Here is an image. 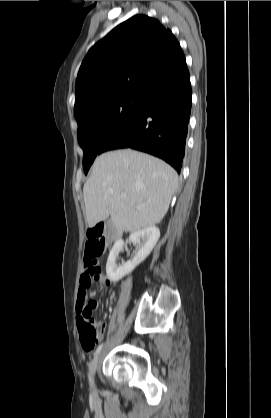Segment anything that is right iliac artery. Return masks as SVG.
Listing matches in <instances>:
<instances>
[{"label":"right iliac artery","mask_w":271,"mask_h":418,"mask_svg":"<svg viewBox=\"0 0 271 418\" xmlns=\"http://www.w3.org/2000/svg\"><path fill=\"white\" fill-rule=\"evenodd\" d=\"M103 346H104V344L102 343L97 347L96 351L94 352V357H96L100 353ZM89 381H90V384L92 385L93 383H92V379L90 377H89Z\"/></svg>","instance_id":"1"}]
</instances>
